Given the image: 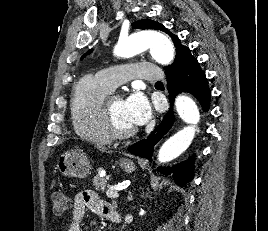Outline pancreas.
<instances>
[{
	"label": "pancreas",
	"mask_w": 268,
	"mask_h": 231,
	"mask_svg": "<svg viewBox=\"0 0 268 231\" xmlns=\"http://www.w3.org/2000/svg\"><path fill=\"white\" fill-rule=\"evenodd\" d=\"M101 170L102 169H98L96 176L93 178V186H95V189L98 191H104L107 186V180L100 176Z\"/></svg>",
	"instance_id": "obj_1"
}]
</instances>
